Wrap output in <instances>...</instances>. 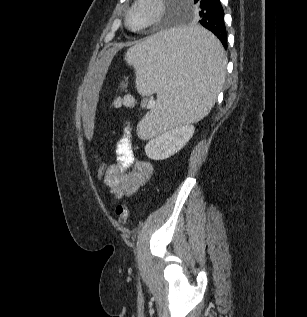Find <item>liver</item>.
<instances>
[{
  "mask_svg": "<svg viewBox=\"0 0 307 317\" xmlns=\"http://www.w3.org/2000/svg\"><path fill=\"white\" fill-rule=\"evenodd\" d=\"M118 48H106L103 55L98 56V62L94 63V71L89 75L88 82L85 83L83 94L84 101L78 102V107L82 108V128L85 142H94L95 108L100 98V90L104 85V78L107 77L115 55H118Z\"/></svg>",
  "mask_w": 307,
  "mask_h": 317,
  "instance_id": "6515ba94",
  "label": "liver"
}]
</instances>
